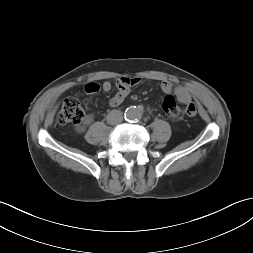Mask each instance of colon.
<instances>
[{"label":"colon","instance_id":"obj_1","mask_svg":"<svg viewBox=\"0 0 253 253\" xmlns=\"http://www.w3.org/2000/svg\"><path fill=\"white\" fill-rule=\"evenodd\" d=\"M162 108L165 116L173 121L178 122L183 119L181 115L182 108L177 104L172 96L164 98ZM84 117V110L81 101L76 97H68L64 100L58 113V122L62 125L78 124Z\"/></svg>","mask_w":253,"mask_h":253}]
</instances>
